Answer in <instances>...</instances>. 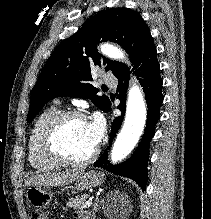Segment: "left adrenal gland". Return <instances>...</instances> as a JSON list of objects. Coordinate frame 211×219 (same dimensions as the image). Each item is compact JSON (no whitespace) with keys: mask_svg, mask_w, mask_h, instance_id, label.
Masks as SVG:
<instances>
[{"mask_svg":"<svg viewBox=\"0 0 211 219\" xmlns=\"http://www.w3.org/2000/svg\"><path fill=\"white\" fill-rule=\"evenodd\" d=\"M100 209L99 200L96 198L94 204H93V210H92V219L96 218V212Z\"/></svg>","mask_w":211,"mask_h":219,"instance_id":"1","label":"left adrenal gland"}]
</instances>
